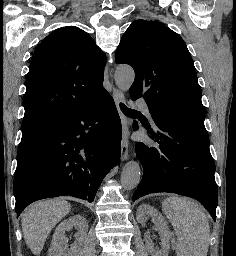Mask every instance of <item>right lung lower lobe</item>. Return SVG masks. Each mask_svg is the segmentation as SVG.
<instances>
[{
	"instance_id": "obj_1",
	"label": "right lung lower lobe",
	"mask_w": 236,
	"mask_h": 256,
	"mask_svg": "<svg viewBox=\"0 0 236 256\" xmlns=\"http://www.w3.org/2000/svg\"><path fill=\"white\" fill-rule=\"evenodd\" d=\"M121 121L106 93L21 140L14 177L17 216L30 203L71 195L94 200L120 161Z\"/></svg>"
}]
</instances>
